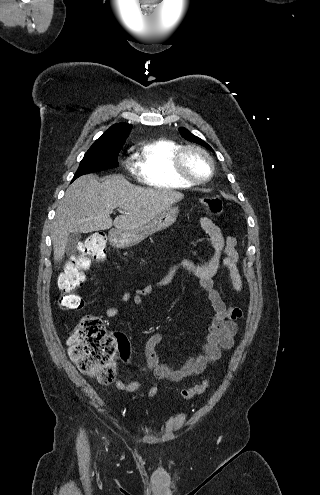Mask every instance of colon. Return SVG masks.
<instances>
[{
	"label": "colon",
	"mask_w": 320,
	"mask_h": 495,
	"mask_svg": "<svg viewBox=\"0 0 320 495\" xmlns=\"http://www.w3.org/2000/svg\"><path fill=\"white\" fill-rule=\"evenodd\" d=\"M202 205L212 215H219L223 210V201L219 195L201 199ZM106 235L95 232L83 242L80 253L72 258L59 277L62 293L59 305L64 310H78L83 306L82 299L74 291L81 287L85 272L91 264L101 262L106 257ZM70 359L78 369L92 375L103 385L111 384L116 377V356L119 353L126 360L130 354V344L121 334L109 333L101 318L88 315L81 319L68 339ZM210 381L204 380L181 392L184 400H190L203 394Z\"/></svg>",
	"instance_id": "obj_1"
}]
</instances>
